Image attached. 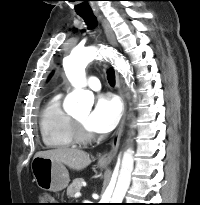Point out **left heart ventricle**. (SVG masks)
I'll list each match as a JSON object with an SVG mask.
<instances>
[{
	"label": "left heart ventricle",
	"instance_id": "obj_1",
	"mask_svg": "<svg viewBox=\"0 0 200 205\" xmlns=\"http://www.w3.org/2000/svg\"><path fill=\"white\" fill-rule=\"evenodd\" d=\"M87 117H88V112H83V113H80V114L76 115L74 118L76 120H78L79 122H81L83 124V126L86 128V130L89 131L88 128L86 127Z\"/></svg>",
	"mask_w": 200,
	"mask_h": 205
}]
</instances>
